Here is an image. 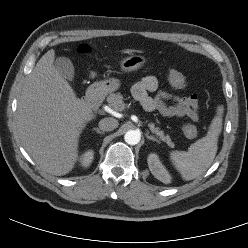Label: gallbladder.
I'll use <instances>...</instances> for the list:
<instances>
[{"instance_id": "bac80fb5", "label": "gallbladder", "mask_w": 248, "mask_h": 248, "mask_svg": "<svg viewBox=\"0 0 248 248\" xmlns=\"http://www.w3.org/2000/svg\"><path fill=\"white\" fill-rule=\"evenodd\" d=\"M54 66L62 77L72 81L74 78V66L69 58L58 57L54 61Z\"/></svg>"}]
</instances>
